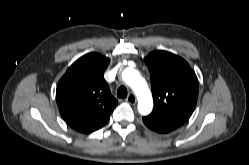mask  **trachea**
<instances>
[{
	"label": "trachea",
	"instance_id": "3493384b",
	"mask_svg": "<svg viewBox=\"0 0 249 165\" xmlns=\"http://www.w3.org/2000/svg\"><path fill=\"white\" fill-rule=\"evenodd\" d=\"M118 98H126L127 97V88L125 86H120L117 90Z\"/></svg>",
	"mask_w": 249,
	"mask_h": 165
}]
</instances>
